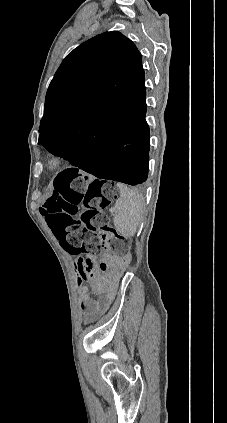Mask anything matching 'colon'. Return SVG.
I'll use <instances>...</instances> for the list:
<instances>
[{
  "mask_svg": "<svg viewBox=\"0 0 227 423\" xmlns=\"http://www.w3.org/2000/svg\"><path fill=\"white\" fill-rule=\"evenodd\" d=\"M114 197L111 186L87 181L78 173L66 170L55 178L53 192L42 206L41 213L68 253L94 255L105 246L102 233H108L115 257L125 259L130 253L129 239L107 224L105 213ZM81 207L83 213H79ZM75 270L80 282L95 278L92 261L88 258L78 259Z\"/></svg>",
  "mask_w": 227,
  "mask_h": 423,
  "instance_id": "obj_1",
  "label": "colon"
}]
</instances>
